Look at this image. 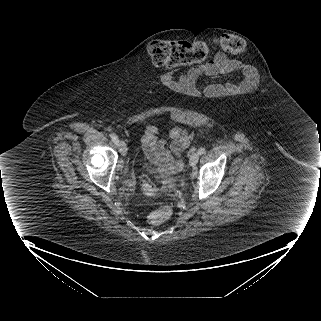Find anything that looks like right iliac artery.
Masks as SVG:
<instances>
[{
    "mask_svg": "<svg viewBox=\"0 0 321 321\" xmlns=\"http://www.w3.org/2000/svg\"><path fill=\"white\" fill-rule=\"evenodd\" d=\"M111 138H112V141H113L116 145H118V142H119L118 137H117L115 134H111Z\"/></svg>",
    "mask_w": 321,
    "mask_h": 321,
    "instance_id": "82829eb1",
    "label": "right iliac artery"
}]
</instances>
